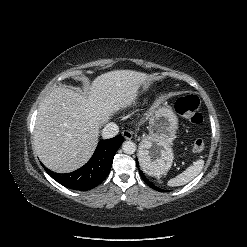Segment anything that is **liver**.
Wrapping results in <instances>:
<instances>
[{"label": "liver", "mask_w": 247, "mask_h": 247, "mask_svg": "<svg viewBox=\"0 0 247 247\" xmlns=\"http://www.w3.org/2000/svg\"><path fill=\"white\" fill-rule=\"evenodd\" d=\"M150 77L133 70H114L96 77L87 92L57 87L41 102L34 145L50 170L68 173L84 165L98 143L99 128L115 112L132 105Z\"/></svg>", "instance_id": "liver-1"}]
</instances>
